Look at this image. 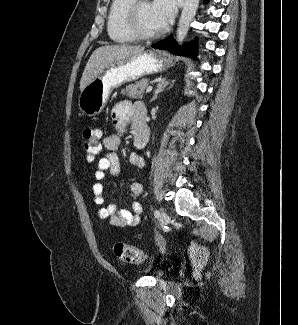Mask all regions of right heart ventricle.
I'll list each match as a JSON object with an SVG mask.
<instances>
[{"instance_id": "1", "label": "right heart ventricle", "mask_w": 298, "mask_h": 325, "mask_svg": "<svg viewBox=\"0 0 298 325\" xmlns=\"http://www.w3.org/2000/svg\"><path fill=\"white\" fill-rule=\"evenodd\" d=\"M129 0H115L112 2L107 16V35L110 41L118 46L131 44L132 39L122 27V15Z\"/></svg>"}]
</instances>
